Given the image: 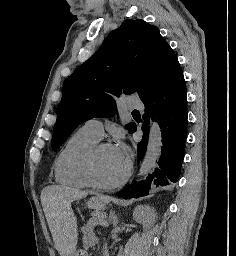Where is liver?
<instances>
[{
  "label": "liver",
  "instance_id": "obj_1",
  "mask_svg": "<svg viewBox=\"0 0 236 256\" xmlns=\"http://www.w3.org/2000/svg\"><path fill=\"white\" fill-rule=\"evenodd\" d=\"M87 194L66 186H47L41 192L42 208L60 256L75 254L78 242L77 220L71 202L86 198Z\"/></svg>",
  "mask_w": 236,
  "mask_h": 256
}]
</instances>
